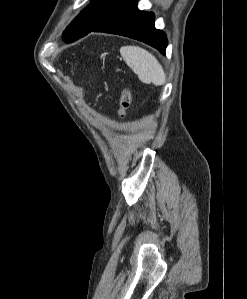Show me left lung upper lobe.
<instances>
[{"label": "left lung upper lobe", "instance_id": "1", "mask_svg": "<svg viewBox=\"0 0 247 299\" xmlns=\"http://www.w3.org/2000/svg\"><path fill=\"white\" fill-rule=\"evenodd\" d=\"M127 0H92L64 32L63 40L74 42L113 14Z\"/></svg>", "mask_w": 247, "mask_h": 299}]
</instances>
